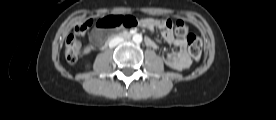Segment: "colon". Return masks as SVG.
I'll return each mask as SVG.
<instances>
[{"mask_svg": "<svg viewBox=\"0 0 276 120\" xmlns=\"http://www.w3.org/2000/svg\"><path fill=\"white\" fill-rule=\"evenodd\" d=\"M167 25L172 23L166 20ZM93 24L92 20L85 21L75 27L73 34L69 35L65 44V58L68 62H75L80 53V41L78 36L85 32ZM142 19L138 15L128 16L114 13L111 16L101 18L95 22V26L102 30L106 28L121 27L124 29H135L140 27ZM175 33L179 38L186 40L188 51L194 59H199L202 54V40L197 35L190 33L187 25L182 21H176ZM98 38L102 40L103 33L100 31Z\"/></svg>", "mask_w": 276, "mask_h": 120, "instance_id": "1", "label": "colon"}]
</instances>
